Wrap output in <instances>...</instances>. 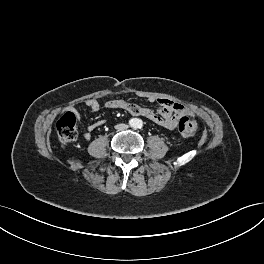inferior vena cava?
I'll return each mask as SVG.
<instances>
[{
	"label": "inferior vena cava",
	"mask_w": 264,
	"mask_h": 264,
	"mask_svg": "<svg viewBox=\"0 0 264 264\" xmlns=\"http://www.w3.org/2000/svg\"><path fill=\"white\" fill-rule=\"evenodd\" d=\"M115 128L119 131L126 130L128 128L127 124H118L115 126Z\"/></svg>",
	"instance_id": "obj_1"
}]
</instances>
